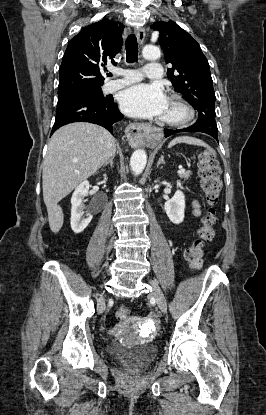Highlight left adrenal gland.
<instances>
[{
  "label": "left adrenal gland",
  "instance_id": "1",
  "mask_svg": "<svg viewBox=\"0 0 266 415\" xmlns=\"http://www.w3.org/2000/svg\"><path fill=\"white\" fill-rule=\"evenodd\" d=\"M161 164H165V161H164V157H163V156H161V157L159 158V160H158V162H157V167H159V165H161Z\"/></svg>",
  "mask_w": 266,
  "mask_h": 415
}]
</instances>
